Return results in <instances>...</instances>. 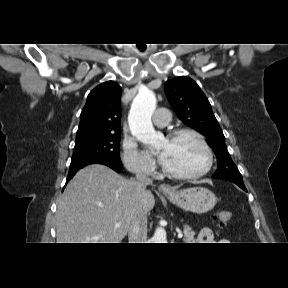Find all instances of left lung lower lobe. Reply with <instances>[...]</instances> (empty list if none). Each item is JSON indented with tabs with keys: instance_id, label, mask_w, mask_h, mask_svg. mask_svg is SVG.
Returning a JSON list of instances; mask_svg holds the SVG:
<instances>
[{
	"instance_id": "obj_1",
	"label": "left lung lower lobe",
	"mask_w": 288,
	"mask_h": 288,
	"mask_svg": "<svg viewBox=\"0 0 288 288\" xmlns=\"http://www.w3.org/2000/svg\"><path fill=\"white\" fill-rule=\"evenodd\" d=\"M239 187H241L244 191H247L245 186H244V183L243 184H237Z\"/></svg>"
}]
</instances>
